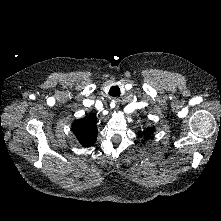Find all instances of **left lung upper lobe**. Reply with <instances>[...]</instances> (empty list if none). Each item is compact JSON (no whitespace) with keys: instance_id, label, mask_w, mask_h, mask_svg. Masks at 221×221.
I'll return each mask as SVG.
<instances>
[{"instance_id":"1","label":"left lung upper lobe","mask_w":221,"mask_h":221,"mask_svg":"<svg viewBox=\"0 0 221 221\" xmlns=\"http://www.w3.org/2000/svg\"><path fill=\"white\" fill-rule=\"evenodd\" d=\"M153 133H154V129L153 128H147L144 131H139L138 132V136L139 137L144 136L145 138H149Z\"/></svg>"}]
</instances>
